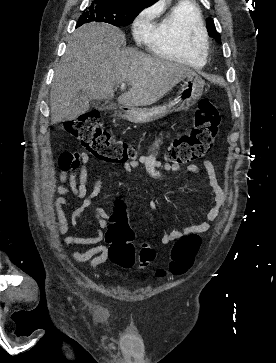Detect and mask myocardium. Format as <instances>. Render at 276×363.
Returning a JSON list of instances; mask_svg holds the SVG:
<instances>
[{
    "instance_id": "obj_1",
    "label": "myocardium",
    "mask_w": 276,
    "mask_h": 363,
    "mask_svg": "<svg viewBox=\"0 0 276 363\" xmlns=\"http://www.w3.org/2000/svg\"><path fill=\"white\" fill-rule=\"evenodd\" d=\"M191 44L197 51L207 54L208 37L206 33H193L191 35Z\"/></svg>"
}]
</instances>
